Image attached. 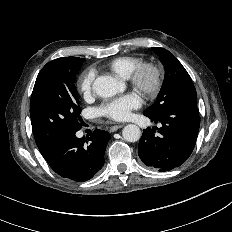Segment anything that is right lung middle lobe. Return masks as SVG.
I'll list each match as a JSON object with an SVG mask.
<instances>
[{
    "label": "right lung middle lobe",
    "instance_id": "1",
    "mask_svg": "<svg viewBox=\"0 0 232 232\" xmlns=\"http://www.w3.org/2000/svg\"><path fill=\"white\" fill-rule=\"evenodd\" d=\"M85 59L58 58L39 72L30 101V116L36 144L44 156L61 138L77 132L82 119L76 75Z\"/></svg>",
    "mask_w": 232,
    "mask_h": 232
}]
</instances>
